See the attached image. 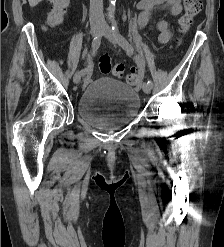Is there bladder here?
<instances>
[{"instance_id": "1", "label": "bladder", "mask_w": 224, "mask_h": 247, "mask_svg": "<svg viewBox=\"0 0 224 247\" xmlns=\"http://www.w3.org/2000/svg\"><path fill=\"white\" fill-rule=\"evenodd\" d=\"M139 109L138 93L110 77L91 82L76 103L79 117L101 131H114L129 124L138 115Z\"/></svg>"}]
</instances>
